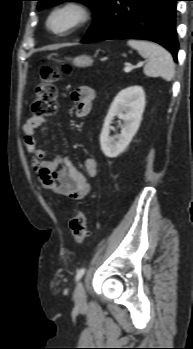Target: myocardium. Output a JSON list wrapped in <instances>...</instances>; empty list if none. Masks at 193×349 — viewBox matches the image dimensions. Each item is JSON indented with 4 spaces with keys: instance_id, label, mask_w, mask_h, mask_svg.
Here are the masks:
<instances>
[{
    "instance_id": "f54148a6",
    "label": "myocardium",
    "mask_w": 193,
    "mask_h": 349,
    "mask_svg": "<svg viewBox=\"0 0 193 349\" xmlns=\"http://www.w3.org/2000/svg\"><path fill=\"white\" fill-rule=\"evenodd\" d=\"M67 9H72L76 12L77 17L74 20V22L68 28L62 31L53 30L50 26L51 18L57 12L62 10H67ZM92 18H93V10L88 3L82 0H68L55 5L49 10L45 19V26H46V29L52 35L57 37H65L73 34L77 30L84 27L87 23L91 21Z\"/></svg>"
}]
</instances>
